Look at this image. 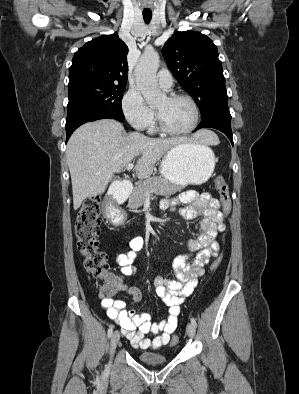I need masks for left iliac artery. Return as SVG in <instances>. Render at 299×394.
Wrapping results in <instances>:
<instances>
[{"label": "left iliac artery", "mask_w": 299, "mask_h": 394, "mask_svg": "<svg viewBox=\"0 0 299 394\" xmlns=\"http://www.w3.org/2000/svg\"><path fill=\"white\" fill-rule=\"evenodd\" d=\"M191 323H192L195 327L197 326L196 320H195L194 318H191Z\"/></svg>", "instance_id": "obj_1"}]
</instances>
